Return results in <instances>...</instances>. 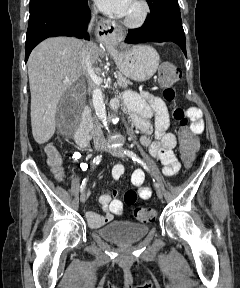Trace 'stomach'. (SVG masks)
Here are the masks:
<instances>
[{
	"mask_svg": "<svg viewBox=\"0 0 240 288\" xmlns=\"http://www.w3.org/2000/svg\"><path fill=\"white\" fill-rule=\"evenodd\" d=\"M109 52L120 72L138 82L150 79L160 62L159 54L149 45H137L130 49L113 46L109 48Z\"/></svg>",
	"mask_w": 240,
	"mask_h": 288,
	"instance_id": "1",
	"label": "stomach"
}]
</instances>
